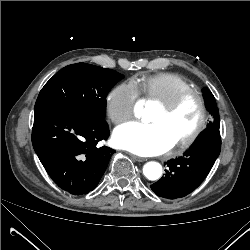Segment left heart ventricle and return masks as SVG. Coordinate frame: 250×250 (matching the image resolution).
I'll return each mask as SVG.
<instances>
[{
    "label": "left heart ventricle",
    "instance_id": "obj_1",
    "mask_svg": "<svg viewBox=\"0 0 250 250\" xmlns=\"http://www.w3.org/2000/svg\"><path fill=\"white\" fill-rule=\"evenodd\" d=\"M199 118V104L195 98H189L169 115L158 107L149 118V122L161 126L171 141L176 143L192 132Z\"/></svg>",
    "mask_w": 250,
    "mask_h": 250
}]
</instances>
